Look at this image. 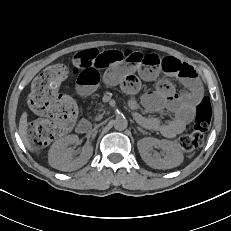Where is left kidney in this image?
Here are the masks:
<instances>
[{
	"label": "left kidney",
	"mask_w": 231,
	"mask_h": 231,
	"mask_svg": "<svg viewBox=\"0 0 231 231\" xmlns=\"http://www.w3.org/2000/svg\"><path fill=\"white\" fill-rule=\"evenodd\" d=\"M137 147L143 161L154 169H171L179 166L183 161V154L178 147L169 140L145 137L137 142ZM153 147L165 152L161 158L153 152Z\"/></svg>",
	"instance_id": "5707ae66"
}]
</instances>
